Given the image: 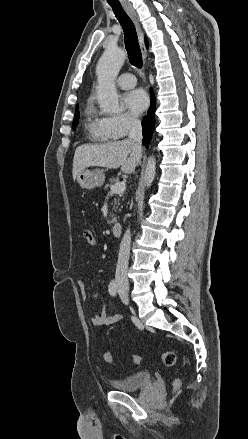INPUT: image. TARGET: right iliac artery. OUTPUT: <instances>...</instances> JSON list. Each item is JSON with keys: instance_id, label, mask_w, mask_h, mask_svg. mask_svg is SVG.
Listing matches in <instances>:
<instances>
[{"instance_id": "82829eb1", "label": "right iliac artery", "mask_w": 248, "mask_h": 439, "mask_svg": "<svg viewBox=\"0 0 248 439\" xmlns=\"http://www.w3.org/2000/svg\"><path fill=\"white\" fill-rule=\"evenodd\" d=\"M108 291L110 293V295L112 296H116L117 294V284L115 280H112L108 286Z\"/></svg>"}]
</instances>
